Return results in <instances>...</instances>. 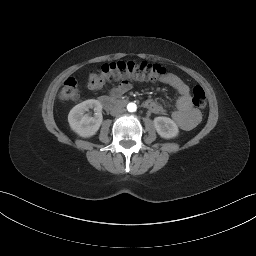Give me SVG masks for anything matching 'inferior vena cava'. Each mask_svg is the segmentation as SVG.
I'll return each mask as SVG.
<instances>
[{"mask_svg":"<svg viewBox=\"0 0 256 256\" xmlns=\"http://www.w3.org/2000/svg\"><path fill=\"white\" fill-rule=\"evenodd\" d=\"M124 112V109L121 107H115L111 110V115L112 116H118Z\"/></svg>","mask_w":256,"mask_h":256,"instance_id":"obj_1","label":"inferior vena cava"}]
</instances>
